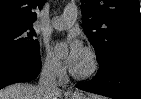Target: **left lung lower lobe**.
Masks as SVG:
<instances>
[{
  "label": "left lung lower lobe",
  "instance_id": "0a47b994",
  "mask_svg": "<svg viewBox=\"0 0 141 99\" xmlns=\"http://www.w3.org/2000/svg\"><path fill=\"white\" fill-rule=\"evenodd\" d=\"M77 87L113 99H141V51L113 53L100 62L92 80L79 83Z\"/></svg>",
  "mask_w": 141,
  "mask_h": 99
}]
</instances>
